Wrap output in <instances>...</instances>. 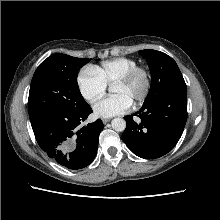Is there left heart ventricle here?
Listing matches in <instances>:
<instances>
[{
	"mask_svg": "<svg viewBox=\"0 0 220 220\" xmlns=\"http://www.w3.org/2000/svg\"><path fill=\"white\" fill-rule=\"evenodd\" d=\"M144 81L141 76L137 77L128 85H114L113 95H124L132 102L142 93Z\"/></svg>",
	"mask_w": 220,
	"mask_h": 220,
	"instance_id": "obj_1",
	"label": "left heart ventricle"
}]
</instances>
